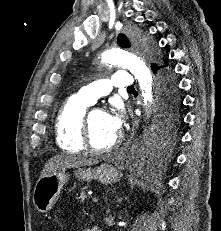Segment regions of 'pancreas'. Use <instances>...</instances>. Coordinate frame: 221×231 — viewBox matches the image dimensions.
<instances>
[{"label":"pancreas","instance_id":"1","mask_svg":"<svg viewBox=\"0 0 221 231\" xmlns=\"http://www.w3.org/2000/svg\"><path fill=\"white\" fill-rule=\"evenodd\" d=\"M85 189H86V187L82 188L81 193H80V195L78 197V199L80 200V202H84L85 199H87V197H88L86 195V193H85Z\"/></svg>","mask_w":221,"mask_h":231}]
</instances>
